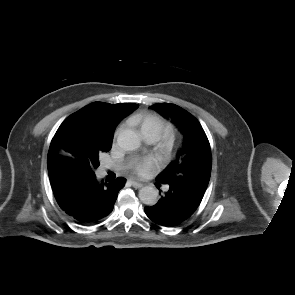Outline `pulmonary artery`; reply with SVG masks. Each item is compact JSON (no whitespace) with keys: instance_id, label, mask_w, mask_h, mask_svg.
<instances>
[{"instance_id":"1","label":"pulmonary artery","mask_w":295,"mask_h":295,"mask_svg":"<svg viewBox=\"0 0 295 295\" xmlns=\"http://www.w3.org/2000/svg\"><path fill=\"white\" fill-rule=\"evenodd\" d=\"M146 139H147V141H149V142H153V141H155V139H153V138H147V137H145Z\"/></svg>"}]
</instances>
